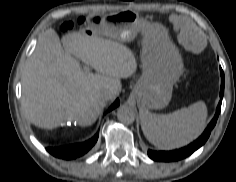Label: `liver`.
I'll return each mask as SVG.
<instances>
[{
	"label": "liver",
	"mask_w": 236,
	"mask_h": 182,
	"mask_svg": "<svg viewBox=\"0 0 236 182\" xmlns=\"http://www.w3.org/2000/svg\"><path fill=\"white\" fill-rule=\"evenodd\" d=\"M71 55L97 73L83 70ZM136 69L133 52L119 42L96 32H73L60 41L48 29L39 37L23 71L22 109L31 123L45 129L67 121L92 125L107 101L100 98V92L109 90L111 99L115 98L122 87L120 78L132 76Z\"/></svg>",
	"instance_id": "1"
}]
</instances>
